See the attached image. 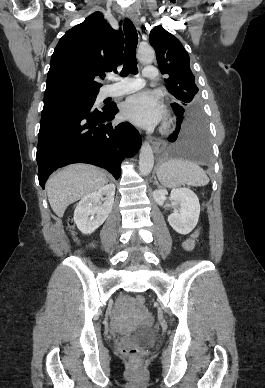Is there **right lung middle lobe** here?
<instances>
[{
	"mask_svg": "<svg viewBox=\"0 0 265 388\" xmlns=\"http://www.w3.org/2000/svg\"><path fill=\"white\" fill-rule=\"evenodd\" d=\"M97 94L63 95L44 99L42 115L69 108L91 109Z\"/></svg>",
	"mask_w": 265,
	"mask_h": 388,
	"instance_id": "1",
	"label": "right lung middle lobe"
}]
</instances>
